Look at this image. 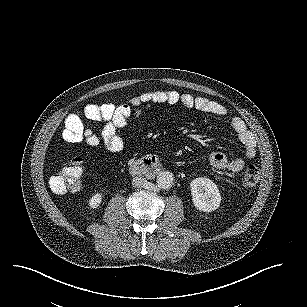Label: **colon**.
I'll use <instances>...</instances> for the list:
<instances>
[{"instance_id":"1","label":"colon","mask_w":307,"mask_h":307,"mask_svg":"<svg viewBox=\"0 0 307 307\" xmlns=\"http://www.w3.org/2000/svg\"><path fill=\"white\" fill-rule=\"evenodd\" d=\"M82 140L89 146L99 143V137L89 128L83 127ZM260 170L256 165H248L242 174V184L245 188H253L258 183ZM83 182V161L74 157L65 167L50 180V187L57 194L79 191Z\"/></svg>"}]
</instances>
